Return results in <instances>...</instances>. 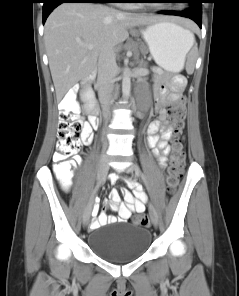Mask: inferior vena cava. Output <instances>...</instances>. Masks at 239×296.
I'll use <instances>...</instances> for the list:
<instances>
[{"instance_id":"1","label":"inferior vena cava","mask_w":239,"mask_h":296,"mask_svg":"<svg viewBox=\"0 0 239 296\" xmlns=\"http://www.w3.org/2000/svg\"><path fill=\"white\" fill-rule=\"evenodd\" d=\"M117 64L113 49L104 51L98 59V97L106 120L110 114L113 83L117 75Z\"/></svg>"}]
</instances>
